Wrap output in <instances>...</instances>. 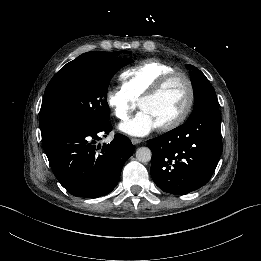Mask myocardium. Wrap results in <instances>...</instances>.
Returning a JSON list of instances; mask_svg holds the SVG:
<instances>
[{
	"label": "myocardium",
	"instance_id": "obj_1",
	"mask_svg": "<svg viewBox=\"0 0 261 261\" xmlns=\"http://www.w3.org/2000/svg\"><path fill=\"white\" fill-rule=\"evenodd\" d=\"M178 77L183 78L184 81L186 82L188 88V98L183 110L178 116H176L174 119L170 120L169 122L161 126H158V128L161 131H169L178 127L191 112L195 100V89L190 76L185 72L176 71V70L166 73L152 86L150 91L146 93L144 96H142L141 99L139 100V107H140L143 102L156 98L170 82H172L175 78Z\"/></svg>",
	"mask_w": 261,
	"mask_h": 261
}]
</instances>
